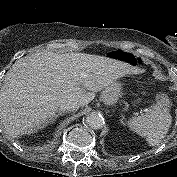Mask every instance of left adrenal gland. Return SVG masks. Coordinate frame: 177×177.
<instances>
[{
  "instance_id": "a2214340",
  "label": "left adrenal gland",
  "mask_w": 177,
  "mask_h": 177,
  "mask_svg": "<svg viewBox=\"0 0 177 177\" xmlns=\"http://www.w3.org/2000/svg\"><path fill=\"white\" fill-rule=\"evenodd\" d=\"M121 117H122V119H121L120 121H121V123H122V124H124V125H125V123H124V116H123V114H121Z\"/></svg>"
}]
</instances>
